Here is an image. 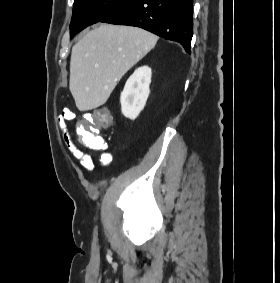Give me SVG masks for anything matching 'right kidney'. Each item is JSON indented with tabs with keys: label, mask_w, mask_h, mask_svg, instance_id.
I'll list each match as a JSON object with an SVG mask.
<instances>
[{
	"label": "right kidney",
	"mask_w": 280,
	"mask_h": 283,
	"mask_svg": "<svg viewBox=\"0 0 280 283\" xmlns=\"http://www.w3.org/2000/svg\"><path fill=\"white\" fill-rule=\"evenodd\" d=\"M151 76V68L142 66L127 80L120 97L121 110L125 117L135 120L144 109L150 93Z\"/></svg>",
	"instance_id": "right-kidney-1"
}]
</instances>
